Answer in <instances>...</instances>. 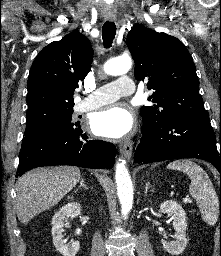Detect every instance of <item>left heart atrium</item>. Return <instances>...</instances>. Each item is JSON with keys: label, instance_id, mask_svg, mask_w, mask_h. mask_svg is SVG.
<instances>
[{"label": "left heart atrium", "instance_id": "obj_1", "mask_svg": "<svg viewBox=\"0 0 221 256\" xmlns=\"http://www.w3.org/2000/svg\"><path fill=\"white\" fill-rule=\"evenodd\" d=\"M134 126L132 113L121 104L107 106L95 112L90 119L94 134L108 138H121Z\"/></svg>", "mask_w": 221, "mask_h": 256}]
</instances>
